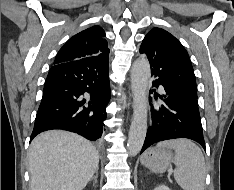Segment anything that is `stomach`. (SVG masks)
Wrapping results in <instances>:
<instances>
[{
    "mask_svg": "<svg viewBox=\"0 0 234 190\" xmlns=\"http://www.w3.org/2000/svg\"><path fill=\"white\" fill-rule=\"evenodd\" d=\"M173 153L166 147H154L147 150L141 157V163L155 173L165 172L173 162Z\"/></svg>",
    "mask_w": 234,
    "mask_h": 190,
    "instance_id": "1",
    "label": "stomach"
}]
</instances>
